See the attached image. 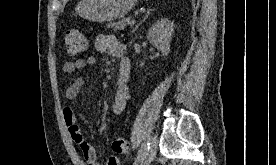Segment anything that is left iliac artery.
I'll return each mask as SVG.
<instances>
[{
  "label": "left iliac artery",
  "instance_id": "1",
  "mask_svg": "<svg viewBox=\"0 0 276 165\" xmlns=\"http://www.w3.org/2000/svg\"><path fill=\"white\" fill-rule=\"evenodd\" d=\"M148 148H149V142L146 141L142 144L141 148L139 149L135 163L140 162L143 159L145 152L148 150Z\"/></svg>",
  "mask_w": 276,
  "mask_h": 165
}]
</instances>
